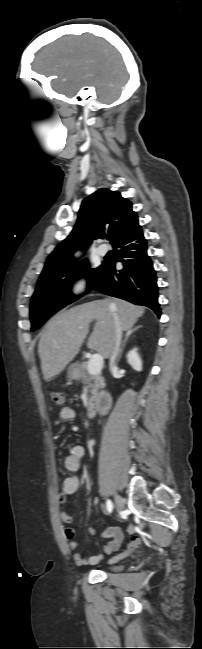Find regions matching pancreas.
I'll return each mask as SVG.
<instances>
[{
    "label": "pancreas",
    "mask_w": 202,
    "mask_h": 649,
    "mask_svg": "<svg viewBox=\"0 0 202 649\" xmlns=\"http://www.w3.org/2000/svg\"><path fill=\"white\" fill-rule=\"evenodd\" d=\"M87 367L88 363L86 362L77 365L79 371L77 379L87 384V388L89 389V392L91 394L88 401V410L92 411L95 407V401L99 396L98 391L99 389L104 388L105 383L101 373L91 375L89 374Z\"/></svg>",
    "instance_id": "pancreas-1"
}]
</instances>
